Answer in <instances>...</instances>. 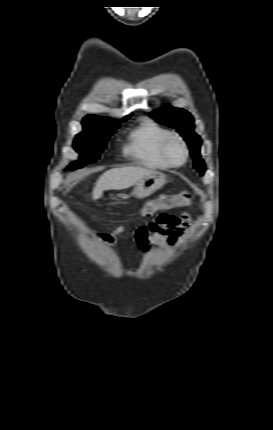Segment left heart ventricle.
I'll return each mask as SVG.
<instances>
[{"mask_svg":"<svg viewBox=\"0 0 273 430\" xmlns=\"http://www.w3.org/2000/svg\"><path fill=\"white\" fill-rule=\"evenodd\" d=\"M168 154L173 161H180L183 156V149L181 144L176 140L171 141L168 146Z\"/></svg>","mask_w":273,"mask_h":430,"instance_id":"1","label":"left heart ventricle"}]
</instances>
